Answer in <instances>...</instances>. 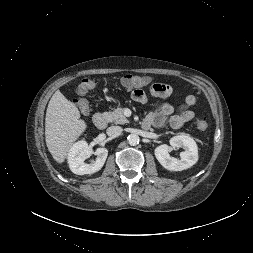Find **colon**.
Listing matches in <instances>:
<instances>
[{"mask_svg": "<svg viewBox=\"0 0 253 253\" xmlns=\"http://www.w3.org/2000/svg\"><path fill=\"white\" fill-rule=\"evenodd\" d=\"M152 78L148 76H141L138 74H127L122 77L121 83L126 88H141L151 83ZM98 81L92 77H85L81 80L77 87V93L80 96H85L90 90L94 89ZM76 106L82 114H88L90 110L89 102L81 97L75 101ZM208 119L206 117H199L195 120V126L198 130L204 131L208 128Z\"/></svg>", "mask_w": 253, "mask_h": 253, "instance_id": "obj_1", "label": "colon"}]
</instances>
